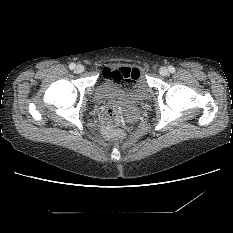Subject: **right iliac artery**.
Returning <instances> with one entry per match:
<instances>
[{
    "label": "right iliac artery",
    "instance_id": "obj_1",
    "mask_svg": "<svg viewBox=\"0 0 233 233\" xmlns=\"http://www.w3.org/2000/svg\"><path fill=\"white\" fill-rule=\"evenodd\" d=\"M75 67H76V65H75L74 63L69 64V68H70L71 70L75 69Z\"/></svg>",
    "mask_w": 233,
    "mask_h": 233
}]
</instances>
